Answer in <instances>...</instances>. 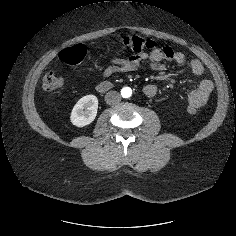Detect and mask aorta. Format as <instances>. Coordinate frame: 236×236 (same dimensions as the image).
<instances>
[{"mask_svg": "<svg viewBox=\"0 0 236 236\" xmlns=\"http://www.w3.org/2000/svg\"><path fill=\"white\" fill-rule=\"evenodd\" d=\"M121 95L123 98H129L132 95V90L129 87H124L121 89Z\"/></svg>", "mask_w": 236, "mask_h": 236, "instance_id": "aorta-1", "label": "aorta"}]
</instances>
